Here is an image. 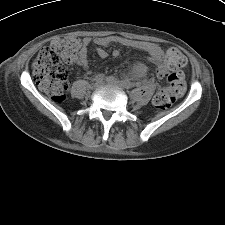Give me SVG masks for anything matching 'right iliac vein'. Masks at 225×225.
Wrapping results in <instances>:
<instances>
[{
  "instance_id": "obj_1",
  "label": "right iliac vein",
  "mask_w": 225,
  "mask_h": 225,
  "mask_svg": "<svg viewBox=\"0 0 225 225\" xmlns=\"http://www.w3.org/2000/svg\"><path fill=\"white\" fill-rule=\"evenodd\" d=\"M101 85H102V81H96V82L93 84V87H94V88H99Z\"/></svg>"
}]
</instances>
